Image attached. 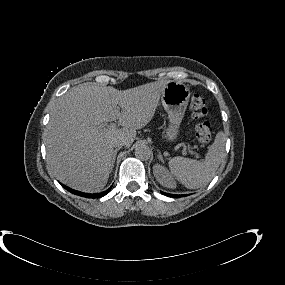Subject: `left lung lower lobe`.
<instances>
[{
  "instance_id": "1",
  "label": "left lung lower lobe",
  "mask_w": 285,
  "mask_h": 285,
  "mask_svg": "<svg viewBox=\"0 0 285 285\" xmlns=\"http://www.w3.org/2000/svg\"><path fill=\"white\" fill-rule=\"evenodd\" d=\"M162 194H164V195H166V196H169V197H182V196H185V195L168 194V193H164V192H162Z\"/></svg>"
}]
</instances>
